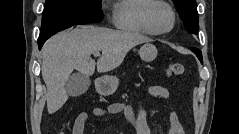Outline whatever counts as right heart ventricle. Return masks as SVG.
<instances>
[{"mask_svg":"<svg viewBox=\"0 0 239 134\" xmlns=\"http://www.w3.org/2000/svg\"><path fill=\"white\" fill-rule=\"evenodd\" d=\"M150 1L117 0L114 5L115 26L124 31L152 35L144 21V11Z\"/></svg>","mask_w":239,"mask_h":134,"instance_id":"obj_1","label":"right heart ventricle"}]
</instances>
